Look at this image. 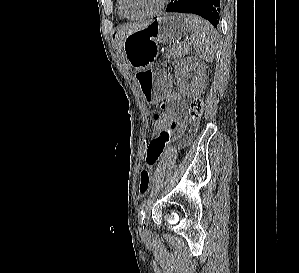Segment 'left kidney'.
I'll return each instance as SVG.
<instances>
[{"label":"left kidney","mask_w":299,"mask_h":273,"mask_svg":"<svg viewBox=\"0 0 299 273\" xmlns=\"http://www.w3.org/2000/svg\"><path fill=\"white\" fill-rule=\"evenodd\" d=\"M206 65L196 57H187L182 59L176 67V80L180 92L187 96H197L201 94L206 87L205 76ZM194 72L191 83L186 82L185 78L189 72Z\"/></svg>","instance_id":"5707ae66"}]
</instances>
